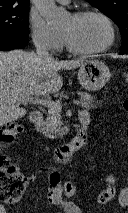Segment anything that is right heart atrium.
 Returning <instances> with one entry per match:
<instances>
[{"label":"right heart atrium","instance_id":"right-heart-atrium-1","mask_svg":"<svg viewBox=\"0 0 128 213\" xmlns=\"http://www.w3.org/2000/svg\"><path fill=\"white\" fill-rule=\"evenodd\" d=\"M29 25L32 40L37 47L49 51H57L62 47L61 34L49 28L40 15L31 12Z\"/></svg>","mask_w":128,"mask_h":213}]
</instances>
